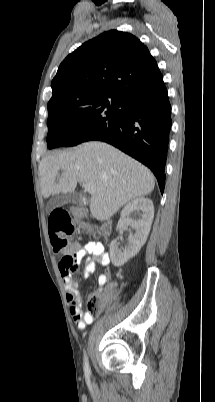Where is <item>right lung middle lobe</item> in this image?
I'll return each mask as SVG.
<instances>
[{
  "label": "right lung middle lobe",
  "mask_w": 215,
  "mask_h": 402,
  "mask_svg": "<svg viewBox=\"0 0 215 402\" xmlns=\"http://www.w3.org/2000/svg\"><path fill=\"white\" fill-rule=\"evenodd\" d=\"M117 95L60 97L48 103V148L75 146L114 124L127 110Z\"/></svg>",
  "instance_id": "dd1d6c3e"
}]
</instances>
